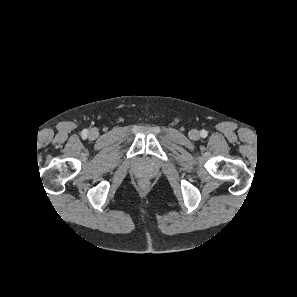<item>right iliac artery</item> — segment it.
<instances>
[{
    "instance_id": "right-iliac-artery-1",
    "label": "right iliac artery",
    "mask_w": 297,
    "mask_h": 297,
    "mask_svg": "<svg viewBox=\"0 0 297 297\" xmlns=\"http://www.w3.org/2000/svg\"><path fill=\"white\" fill-rule=\"evenodd\" d=\"M83 135L86 136V135H87V131H84V132H83Z\"/></svg>"
}]
</instances>
